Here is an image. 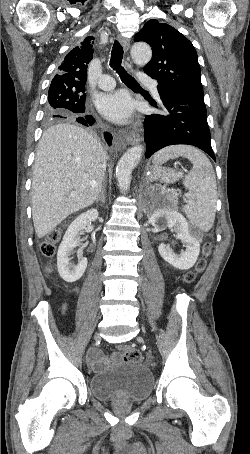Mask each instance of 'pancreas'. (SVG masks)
Instances as JSON below:
<instances>
[{"label": "pancreas", "mask_w": 250, "mask_h": 454, "mask_svg": "<svg viewBox=\"0 0 250 454\" xmlns=\"http://www.w3.org/2000/svg\"><path fill=\"white\" fill-rule=\"evenodd\" d=\"M165 195L166 197L168 198L169 201H171L172 203H174V205L177 204L178 200H177V196L171 192H165Z\"/></svg>", "instance_id": "1"}]
</instances>
